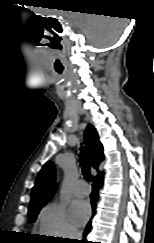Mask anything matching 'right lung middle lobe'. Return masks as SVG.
I'll return each mask as SVG.
<instances>
[{
  "label": "right lung middle lobe",
  "mask_w": 154,
  "mask_h": 243,
  "mask_svg": "<svg viewBox=\"0 0 154 243\" xmlns=\"http://www.w3.org/2000/svg\"><path fill=\"white\" fill-rule=\"evenodd\" d=\"M42 205L29 208L28 214H29L30 221H35L36 220L37 215H38L39 211L42 208Z\"/></svg>",
  "instance_id": "1"
}]
</instances>
